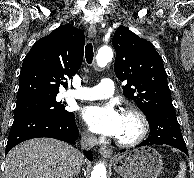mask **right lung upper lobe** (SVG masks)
Segmentation results:
<instances>
[{
    "label": "right lung upper lobe",
    "instance_id": "right-lung-upper-lobe-1",
    "mask_svg": "<svg viewBox=\"0 0 194 178\" xmlns=\"http://www.w3.org/2000/svg\"><path fill=\"white\" fill-rule=\"evenodd\" d=\"M85 36L82 30L62 25L39 39L25 56L17 102L57 96L81 67Z\"/></svg>",
    "mask_w": 194,
    "mask_h": 178
}]
</instances>
